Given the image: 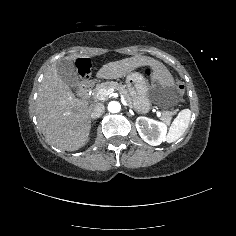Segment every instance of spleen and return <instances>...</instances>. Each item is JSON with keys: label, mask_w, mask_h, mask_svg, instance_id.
<instances>
[{"label": "spleen", "mask_w": 236, "mask_h": 236, "mask_svg": "<svg viewBox=\"0 0 236 236\" xmlns=\"http://www.w3.org/2000/svg\"><path fill=\"white\" fill-rule=\"evenodd\" d=\"M190 118L191 111L189 109H184L178 113L177 117L174 119L170 127L167 136L168 142H174L184 134L189 125Z\"/></svg>", "instance_id": "obj_1"}]
</instances>
